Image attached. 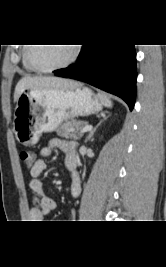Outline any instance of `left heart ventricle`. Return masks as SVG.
<instances>
[{"instance_id":"obj_1","label":"left heart ventricle","mask_w":166,"mask_h":267,"mask_svg":"<svg viewBox=\"0 0 166 267\" xmlns=\"http://www.w3.org/2000/svg\"><path fill=\"white\" fill-rule=\"evenodd\" d=\"M71 53L72 47L68 45H37L32 48L31 57L35 64L47 68L65 62Z\"/></svg>"}]
</instances>
